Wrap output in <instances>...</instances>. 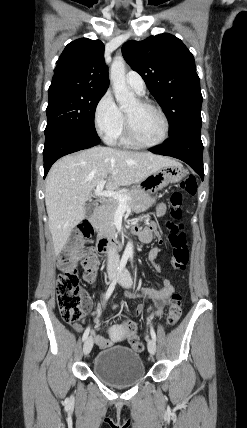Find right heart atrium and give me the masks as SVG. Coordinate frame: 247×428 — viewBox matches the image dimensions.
Wrapping results in <instances>:
<instances>
[{"label":"right heart atrium","mask_w":247,"mask_h":428,"mask_svg":"<svg viewBox=\"0 0 247 428\" xmlns=\"http://www.w3.org/2000/svg\"><path fill=\"white\" fill-rule=\"evenodd\" d=\"M94 125L98 134L110 143L118 139L124 128L123 114L109 91L102 95L95 106Z\"/></svg>","instance_id":"obj_1"}]
</instances>
